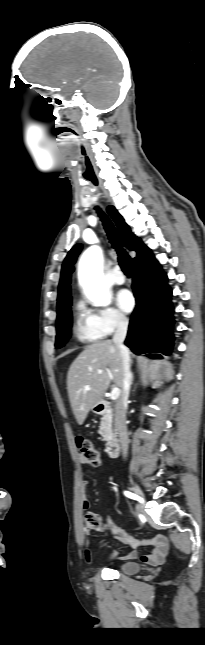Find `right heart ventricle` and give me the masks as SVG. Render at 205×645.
<instances>
[{
  "instance_id": "e07e8e85",
  "label": "right heart ventricle",
  "mask_w": 205,
  "mask_h": 645,
  "mask_svg": "<svg viewBox=\"0 0 205 645\" xmlns=\"http://www.w3.org/2000/svg\"><path fill=\"white\" fill-rule=\"evenodd\" d=\"M74 332L76 337L83 342H96L103 336L93 325L91 313L83 306L77 308Z\"/></svg>"
}]
</instances>
